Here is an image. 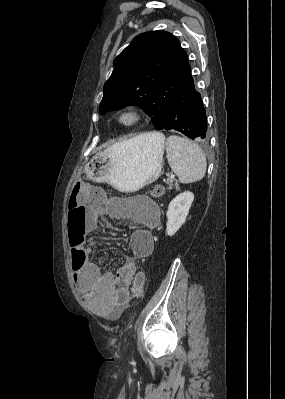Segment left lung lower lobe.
Wrapping results in <instances>:
<instances>
[{
    "label": "left lung lower lobe",
    "instance_id": "obj_1",
    "mask_svg": "<svg viewBox=\"0 0 285 399\" xmlns=\"http://www.w3.org/2000/svg\"><path fill=\"white\" fill-rule=\"evenodd\" d=\"M161 130L179 131L191 139H207L206 112L192 77L174 97Z\"/></svg>",
    "mask_w": 285,
    "mask_h": 399
}]
</instances>
